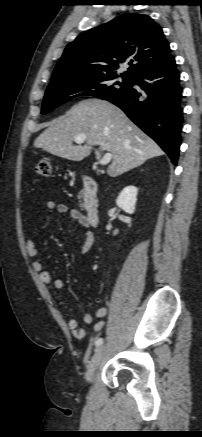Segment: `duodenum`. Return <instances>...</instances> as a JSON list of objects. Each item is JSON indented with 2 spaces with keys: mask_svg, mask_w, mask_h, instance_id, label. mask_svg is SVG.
Returning <instances> with one entry per match:
<instances>
[{
  "mask_svg": "<svg viewBox=\"0 0 202 437\" xmlns=\"http://www.w3.org/2000/svg\"><path fill=\"white\" fill-rule=\"evenodd\" d=\"M82 183L87 221L91 227H96L100 221L98 185L92 177L87 175L83 176Z\"/></svg>",
  "mask_w": 202,
  "mask_h": 437,
  "instance_id": "duodenum-1",
  "label": "duodenum"
}]
</instances>
